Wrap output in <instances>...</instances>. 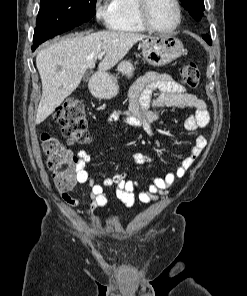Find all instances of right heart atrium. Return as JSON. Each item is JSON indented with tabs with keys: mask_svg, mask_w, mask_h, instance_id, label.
Here are the masks:
<instances>
[{
	"mask_svg": "<svg viewBox=\"0 0 247 296\" xmlns=\"http://www.w3.org/2000/svg\"><path fill=\"white\" fill-rule=\"evenodd\" d=\"M93 9L94 17L98 23L104 26L111 25L114 18V11L110 0H94Z\"/></svg>",
	"mask_w": 247,
	"mask_h": 296,
	"instance_id": "right-heart-atrium-1",
	"label": "right heart atrium"
}]
</instances>
